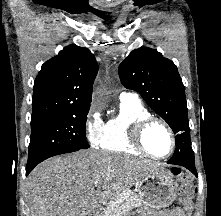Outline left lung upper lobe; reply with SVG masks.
<instances>
[{
	"mask_svg": "<svg viewBox=\"0 0 221 216\" xmlns=\"http://www.w3.org/2000/svg\"><path fill=\"white\" fill-rule=\"evenodd\" d=\"M122 84L137 91L176 134V146L191 148L184 85L176 65L157 50L135 49L120 64Z\"/></svg>",
	"mask_w": 221,
	"mask_h": 216,
	"instance_id": "obj_1",
	"label": "left lung upper lobe"
}]
</instances>
